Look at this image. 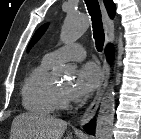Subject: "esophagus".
<instances>
[{"label": "esophagus", "instance_id": "obj_1", "mask_svg": "<svg viewBox=\"0 0 141 139\" xmlns=\"http://www.w3.org/2000/svg\"><path fill=\"white\" fill-rule=\"evenodd\" d=\"M102 6V16H103V23H104V30H105V38L106 44L112 43L114 41V33H113V21L107 14V11L101 1ZM110 76V66L106 59L104 60L102 66V73H101V81L96 92V95L93 101L90 103L88 108L85 110L84 114L82 115L79 126L82 127L83 125L87 124L96 114V111L99 107L100 101L104 95L106 87L108 85V80Z\"/></svg>", "mask_w": 141, "mask_h": 139}]
</instances>
